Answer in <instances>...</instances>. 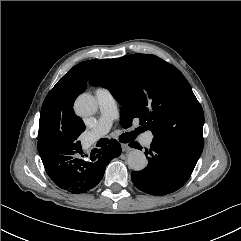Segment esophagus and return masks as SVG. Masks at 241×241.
Returning <instances> with one entry per match:
<instances>
[{
  "mask_svg": "<svg viewBox=\"0 0 241 241\" xmlns=\"http://www.w3.org/2000/svg\"><path fill=\"white\" fill-rule=\"evenodd\" d=\"M121 148H122V150H123L124 152H127V151L130 150L129 145L126 144V143H121Z\"/></svg>",
  "mask_w": 241,
  "mask_h": 241,
  "instance_id": "1",
  "label": "esophagus"
}]
</instances>
